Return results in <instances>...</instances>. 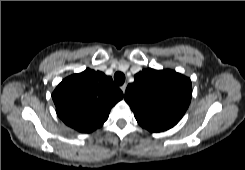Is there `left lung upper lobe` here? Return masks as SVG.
I'll use <instances>...</instances> for the list:
<instances>
[{
    "instance_id": "obj_1",
    "label": "left lung upper lobe",
    "mask_w": 245,
    "mask_h": 170,
    "mask_svg": "<svg viewBox=\"0 0 245 170\" xmlns=\"http://www.w3.org/2000/svg\"><path fill=\"white\" fill-rule=\"evenodd\" d=\"M192 97L189 78L172 70L144 69L127 86L125 101L142 127L151 132L172 128L186 112Z\"/></svg>"
}]
</instances>
